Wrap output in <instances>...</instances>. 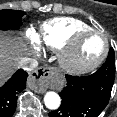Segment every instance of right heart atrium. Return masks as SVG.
I'll return each mask as SVG.
<instances>
[{
	"instance_id": "1",
	"label": "right heart atrium",
	"mask_w": 117,
	"mask_h": 117,
	"mask_svg": "<svg viewBox=\"0 0 117 117\" xmlns=\"http://www.w3.org/2000/svg\"><path fill=\"white\" fill-rule=\"evenodd\" d=\"M27 36L31 40L32 43L35 44L37 42L36 41V35H35L34 31H32V30L28 31Z\"/></svg>"
}]
</instances>
